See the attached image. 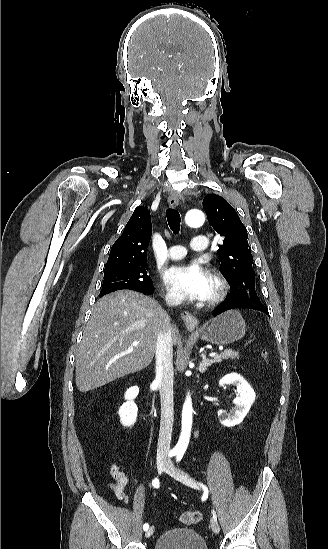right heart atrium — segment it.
I'll use <instances>...</instances> for the list:
<instances>
[{
	"instance_id": "1",
	"label": "right heart atrium",
	"mask_w": 328,
	"mask_h": 549,
	"mask_svg": "<svg viewBox=\"0 0 328 549\" xmlns=\"http://www.w3.org/2000/svg\"><path fill=\"white\" fill-rule=\"evenodd\" d=\"M165 299L168 303H179V301L174 297V295L169 291H164Z\"/></svg>"
}]
</instances>
